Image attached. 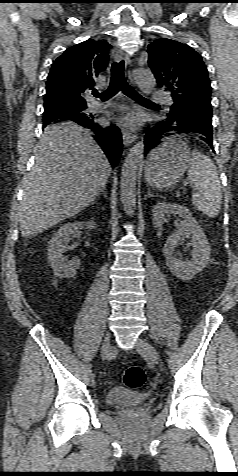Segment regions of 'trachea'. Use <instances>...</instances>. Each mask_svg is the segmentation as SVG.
I'll use <instances>...</instances> for the list:
<instances>
[{"label":"trachea","mask_w":238,"mask_h":476,"mask_svg":"<svg viewBox=\"0 0 238 476\" xmlns=\"http://www.w3.org/2000/svg\"><path fill=\"white\" fill-rule=\"evenodd\" d=\"M121 90L129 98L142 101L150 102V100L144 98L139 93H137L126 81L124 75V60L120 62H113L111 67V79L108 89L102 93L95 91L93 95L99 97L102 100H107L118 93Z\"/></svg>","instance_id":"obj_1"}]
</instances>
